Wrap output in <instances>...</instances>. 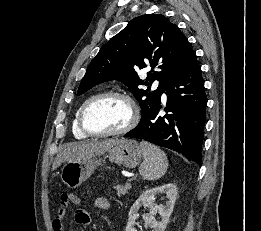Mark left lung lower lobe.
<instances>
[{"mask_svg":"<svg viewBox=\"0 0 261 231\" xmlns=\"http://www.w3.org/2000/svg\"><path fill=\"white\" fill-rule=\"evenodd\" d=\"M168 114L162 116L161 100L145 113L136 128L124 137L146 140L172 149L201 165L207 97L197 57L165 84Z\"/></svg>","mask_w":261,"mask_h":231,"instance_id":"0a47b994","label":"left lung lower lobe"}]
</instances>
